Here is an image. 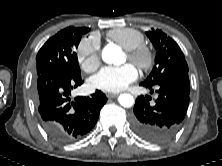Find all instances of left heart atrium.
<instances>
[{
	"label": "left heart atrium",
	"mask_w": 222,
	"mask_h": 166,
	"mask_svg": "<svg viewBox=\"0 0 222 166\" xmlns=\"http://www.w3.org/2000/svg\"><path fill=\"white\" fill-rule=\"evenodd\" d=\"M138 78V71L133 64L106 66L91 80L93 86L105 92H119Z\"/></svg>",
	"instance_id": "1"
}]
</instances>
